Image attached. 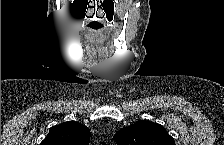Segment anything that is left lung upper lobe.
Instances as JSON below:
<instances>
[{"label":"left lung upper lobe","instance_id":"1","mask_svg":"<svg viewBox=\"0 0 224 145\" xmlns=\"http://www.w3.org/2000/svg\"><path fill=\"white\" fill-rule=\"evenodd\" d=\"M118 145H175L166 129L157 123L139 121L115 134Z\"/></svg>","mask_w":224,"mask_h":145}]
</instances>
